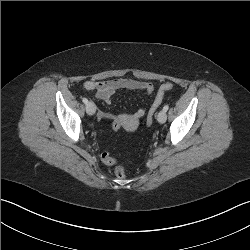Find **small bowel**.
<instances>
[{"label": "small bowel", "instance_id": "small-bowel-1", "mask_svg": "<svg viewBox=\"0 0 250 250\" xmlns=\"http://www.w3.org/2000/svg\"><path fill=\"white\" fill-rule=\"evenodd\" d=\"M83 88L87 91L95 92L96 97L105 102L106 104L110 103L111 97L118 90L126 89L140 91L147 96H151L155 91V87L151 82H143L132 78H118L106 81L87 80L83 83ZM144 114L145 111L143 109H138L131 115L118 116L121 117L122 125L123 123L136 122L141 119ZM123 116L125 117L124 119L122 118ZM102 117L114 119L113 116L105 112L99 113V118Z\"/></svg>", "mask_w": 250, "mask_h": 250}]
</instances>
